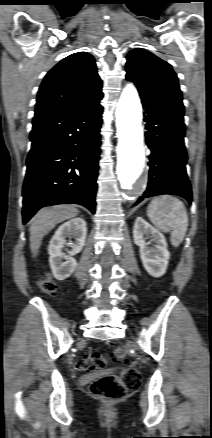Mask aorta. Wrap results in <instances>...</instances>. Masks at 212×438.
Segmentation results:
<instances>
[{
	"mask_svg": "<svg viewBox=\"0 0 212 438\" xmlns=\"http://www.w3.org/2000/svg\"><path fill=\"white\" fill-rule=\"evenodd\" d=\"M115 115L119 139L117 146L118 179L123 189L131 190L145 166L141 128L142 107L138 92L132 84H128L123 89Z\"/></svg>",
	"mask_w": 212,
	"mask_h": 438,
	"instance_id": "762f6f07",
	"label": "aorta"
}]
</instances>
